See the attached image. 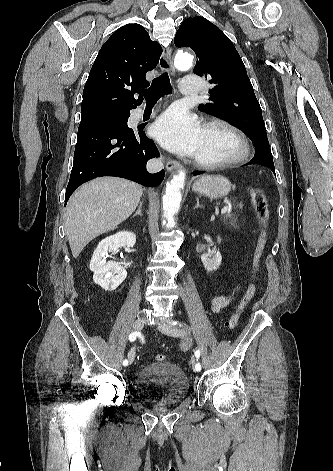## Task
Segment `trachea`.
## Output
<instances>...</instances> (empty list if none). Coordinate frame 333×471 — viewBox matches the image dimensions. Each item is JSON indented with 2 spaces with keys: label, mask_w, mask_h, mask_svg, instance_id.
Here are the masks:
<instances>
[{
  "label": "trachea",
  "mask_w": 333,
  "mask_h": 471,
  "mask_svg": "<svg viewBox=\"0 0 333 471\" xmlns=\"http://www.w3.org/2000/svg\"><path fill=\"white\" fill-rule=\"evenodd\" d=\"M172 86L167 72L152 81V85L143 92L146 102H156L164 95L172 93Z\"/></svg>",
  "instance_id": "obj_1"
}]
</instances>
